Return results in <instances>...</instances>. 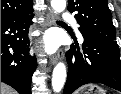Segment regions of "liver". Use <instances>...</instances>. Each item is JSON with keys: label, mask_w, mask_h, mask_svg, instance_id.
Returning a JSON list of instances; mask_svg holds the SVG:
<instances>
[{"label": "liver", "mask_w": 121, "mask_h": 94, "mask_svg": "<svg viewBox=\"0 0 121 94\" xmlns=\"http://www.w3.org/2000/svg\"><path fill=\"white\" fill-rule=\"evenodd\" d=\"M1 94H17L10 86L1 83Z\"/></svg>", "instance_id": "1"}]
</instances>
